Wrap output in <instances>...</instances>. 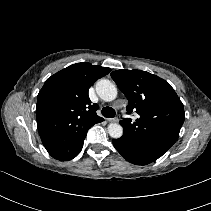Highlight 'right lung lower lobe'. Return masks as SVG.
I'll list each match as a JSON object with an SVG mask.
<instances>
[{
	"label": "right lung lower lobe",
	"mask_w": 211,
	"mask_h": 211,
	"mask_svg": "<svg viewBox=\"0 0 211 211\" xmlns=\"http://www.w3.org/2000/svg\"><path fill=\"white\" fill-rule=\"evenodd\" d=\"M85 137H86V134L81 138L79 145H78V148L75 150V152L67 160L73 159L74 157H76L80 153V151L83 147V141H84ZM67 160H65V161H67Z\"/></svg>",
	"instance_id": "98d812e1"
}]
</instances>
